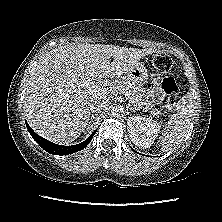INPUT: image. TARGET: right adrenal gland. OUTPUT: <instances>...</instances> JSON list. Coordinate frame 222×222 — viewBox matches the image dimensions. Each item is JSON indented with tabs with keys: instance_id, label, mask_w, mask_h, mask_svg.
Wrapping results in <instances>:
<instances>
[{
	"instance_id": "2a0ac1e0",
	"label": "right adrenal gland",
	"mask_w": 222,
	"mask_h": 222,
	"mask_svg": "<svg viewBox=\"0 0 222 222\" xmlns=\"http://www.w3.org/2000/svg\"><path fill=\"white\" fill-rule=\"evenodd\" d=\"M95 118V116L94 115H91L90 116V122H89V124H88V128H89V126H91V123L93 122V120L92 119H94Z\"/></svg>"
}]
</instances>
